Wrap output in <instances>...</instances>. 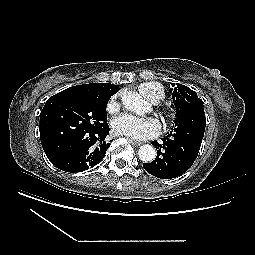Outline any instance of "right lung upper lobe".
<instances>
[{
  "mask_svg": "<svg viewBox=\"0 0 255 255\" xmlns=\"http://www.w3.org/2000/svg\"><path fill=\"white\" fill-rule=\"evenodd\" d=\"M119 86L111 83L83 84L67 88L54 96H102L111 97L119 90Z\"/></svg>",
  "mask_w": 255,
  "mask_h": 255,
  "instance_id": "obj_1",
  "label": "right lung upper lobe"
}]
</instances>
